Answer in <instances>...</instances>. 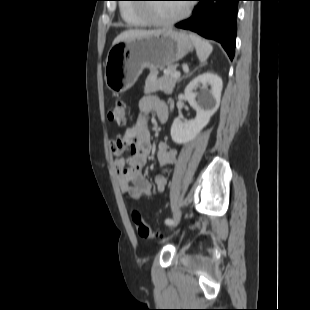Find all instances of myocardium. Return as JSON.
<instances>
[{
    "mask_svg": "<svg viewBox=\"0 0 310 310\" xmlns=\"http://www.w3.org/2000/svg\"><path fill=\"white\" fill-rule=\"evenodd\" d=\"M190 11H191V5L189 4L185 8H183L181 13H179L175 17H172V18H159V17H156L154 15L152 16V11L149 10V14L151 15L150 18H149V22H150V24L157 25V26L173 25V24L181 21L185 17H187L190 14ZM139 12L142 15L147 16V12L144 9H139Z\"/></svg>",
    "mask_w": 310,
    "mask_h": 310,
    "instance_id": "obj_1",
    "label": "myocardium"
}]
</instances>
